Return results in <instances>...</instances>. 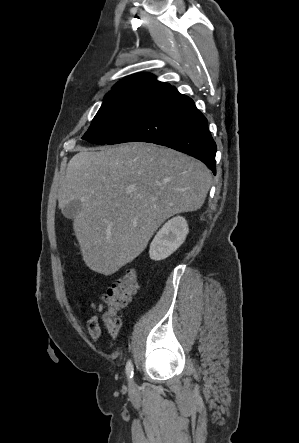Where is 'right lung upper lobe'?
Wrapping results in <instances>:
<instances>
[{
	"instance_id": "cb5924a9",
	"label": "right lung upper lobe",
	"mask_w": 299,
	"mask_h": 443,
	"mask_svg": "<svg viewBox=\"0 0 299 443\" xmlns=\"http://www.w3.org/2000/svg\"><path fill=\"white\" fill-rule=\"evenodd\" d=\"M144 87H159V88L169 89L172 86L167 83L158 81L153 74L139 73L122 79L113 86L111 91L127 89V88H144Z\"/></svg>"
}]
</instances>
